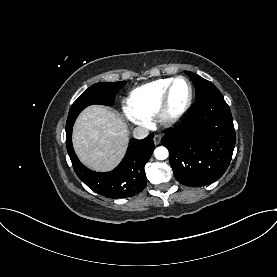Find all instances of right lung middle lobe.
Segmentation results:
<instances>
[{"mask_svg": "<svg viewBox=\"0 0 277 277\" xmlns=\"http://www.w3.org/2000/svg\"><path fill=\"white\" fill-rule=\"evenodd\" d=\"M126 84V81L96 83L83 92L70 108L66 130L73 127L79 113L89 105H111L118 91Z\"/></svg>", "mask_w": 277, "mask_h": 277, "instance_id": "right-lung-middle-lobe-1", "label": "right lung middle lobe"}]
</instances>
